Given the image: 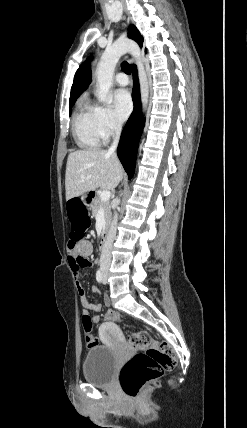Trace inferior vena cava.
Instances as JSON below:
<instances>
[{"mask_svg": "<svg viewBox=\"0 0 247 428\" xmlns=\"http://www.w3.org/2000/svg\"><path fill=\"white\" fill-rule=\"evenodd\" d=\"M121 124H115L114 130H115V138L111 145V147L108 150V154L116 155L115 151L117 149L119 138L121 134ZM119 203V200H117V204ZM117 219L118 215L117 213L114 214L113 221L110 227V230L108 232L106 241L104 243V246L102 248L101 256H100V266L103 268H108L111 263V248L113 241L116 237V229H117Z\"/></svg>", "mask_w": 247, "mask_h": 428, "instance_id": "1", "label": "inferior vena cava"}]
</instances>
